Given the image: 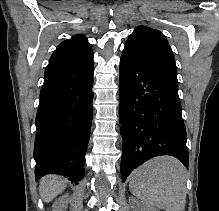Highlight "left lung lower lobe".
<instances>
[{
	"instance_id": "0a47b994",
	"label": "left lung lower lobe",
	"mask_w": 219,
	"mask_h": 211,
	"mask_svg": "<svg viewBox=\"0 0 219 211\" xmlns=\"http://www.w3.org/2000/svg\"><path fill=\"white\" fill-rule=\"evenodd\" d=\"M119 93L122 181L155 156L172 155L187 167L189 156L178 82L123 52Z\"/></svg>"
}]
</instances>
